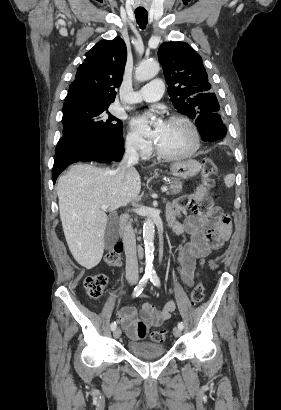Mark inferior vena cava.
<instances>
[{
  "mask_svg": "<svg viewBox=\"0 0 281 410\" xmlns=\"http://www.w3.org/2000/svg\"><path fill=\"white\" fill-rule=\"evenodd\" d=\"M139 155L134 143H127L125 153L115 173L120 179H124L130 170L135 169L134 165L138 163ZM123 244L126 255V278L132 281H138V262L136 254L135 233L130 222L123 226Z\"/></svg>",
  "mask_w": 281,
  "mask_h": 410,
  "instance_id": "602c4592",
  "label": "inferior vena cava"
}]
</instances>
